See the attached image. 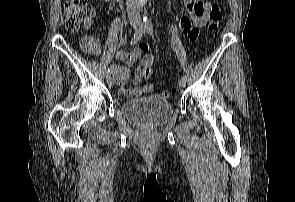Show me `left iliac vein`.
Masks as SVG:
<instances>
[{
	"label": "left iliac vein",
	"instance_id": "4c4485c4",
	"mask_svg": "<svg viewBox=\"0 0 295 202\" xmlns=\"http://www.w3.org/2000/svg\"><path fill=\"white\" fill-rule=\"evenodd\" d=\"M139 26H140V27L142 26V27L144 28L143 23H139ZM178 85H179L180 88L185 87V85H186V80L181 78V79L178 81Z\"/></svg>",
	"mask_w": 295,
	"mask_h": 202
}]
</instances>
